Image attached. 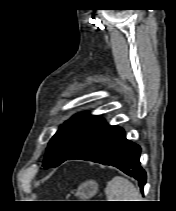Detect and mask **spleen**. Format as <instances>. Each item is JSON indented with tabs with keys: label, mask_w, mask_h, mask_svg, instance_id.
<instances>
[{
	"label": "spleen",
	"mask_w": 176,
	"mask_h": 211,
	"mask_svg": "<svg viewBox=\"0 0 176 211\" xmlns=\"http://www.w3.org/2000/svg\"><path fill=\"white\" fill-rule=\"evenodd\" d=\"M105 194L108 201H142L139 190L122 176H116L107 183Z\"/></svg>",
	"instance_id": "3e777b00"
}]
</instances>
